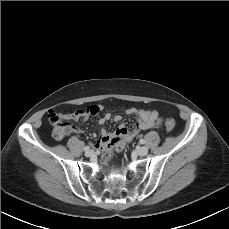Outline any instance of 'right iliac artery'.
<instances>
[{
    "label": "right iliac artery",
    "instance_id": "1",
    "mask_svg": "<svg viewBox=\"0 0 229 229\" xmlns=\"http://www.w3.org/2000/svg\"><path fill=\"white\" fill-rule=\"evenodd\" d=\"M90 149V146H85L84 151H88Z\"/></svg>",
    "mask_w": 229,
    "mask_h": 229
}]
</instances>
